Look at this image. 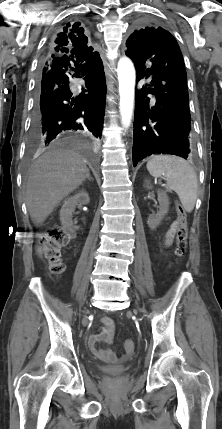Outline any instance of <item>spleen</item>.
Listing matches in <instances>:
<instances>
[{
  "label": "spleen",
  "instance_id": "3e777b00",
  "mask_svg": "<svg viewBox=\"0 0 222 429\" xmlns=\"http://www.w3.org/2000/svg\"><path fill=\"white\" fill-rule=\"evenodd\" d=\"M147 170L154 177H165L187 212H192L197 199V176L189 163L171 155H155L147 162Z\"/></svg>",
  "mask_w": 222,
  "mask_h": 429
}]
</instances>
